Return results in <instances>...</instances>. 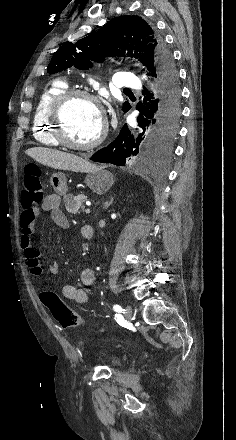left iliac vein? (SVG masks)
<instances>
[{
    "mask_svg": "<svg viewBox=\"0 0 236 440\" xmlns=\"http://www.w3.org/2000/svg\"><path fill=\"white\" fill-rule=\"evenodd\" d=\"M125 317L128 321L132 320V308L129 305L125 307Z\"/></svg>",
    "mask_w": 236,
    "mask_h": 440,
    "instance_id": "obj_1",
    "label": "left iliac vein"
}]
</instances>
